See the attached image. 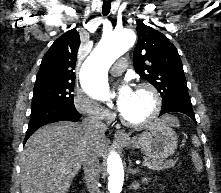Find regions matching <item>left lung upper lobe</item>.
<instances>
[{"label":"left lung upper lobe","instance_id":"left-lung-upper-lobe-1","mask_svg":"<svg viewBox=\"0 0 221 193\" xmlns=\"http://www.w3.org/2000/svg\"><path fill=\"white\" fill-rule=\"evenodd\" d=\"M138 43L133 53L136 72L161 94L162 106L189 98L186 79L176 47L161 32L137 24Z\"/></svg>","mask_w":221,"mask_h":193}]
</instances>
